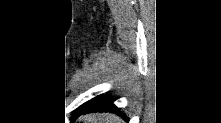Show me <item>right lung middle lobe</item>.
<instances>
[{"instance_id": "right-lung-middle-lobe-1", "label": "right lung middle lobe", "mask_w": 221, "mask_h": 123, "mask_svg": "<svg viewBox=\"0 0 221 123\" xmlns=\"http://www.w3.org/2000/svg\"><path fill=\"white\" fill-rule=\"evenodd\" d=\"M89 105V104H88ZM86 104H83L81 107L78 108V110H76V112L74 113V116L78 115L81 113V111L86 107Z\"/></svg>"}]
</instances>
